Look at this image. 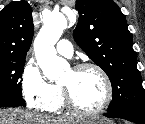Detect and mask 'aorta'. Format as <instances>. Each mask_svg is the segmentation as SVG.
Masks as SVG:
<instances>
[{
	"label": "aorta",
	"instance_id": "762f6f07",
	"mask_svg": "<svg viewBox=\"0 0 145 124\" xmlns=\"http://www.w3.org/2000/svg\"><path fill=\"white\" fill-rule=\"evenodd\" d=\"M66 26L67 21L62 14L50 13L44 18V25L34 41L37 63L44 77L50 81L60 79L64 74V70L69 67L65 59L57 56L54 47Z\"/></svg>",
	"mask_w": 145,
	"mask_h": 124
}]
</instances>
